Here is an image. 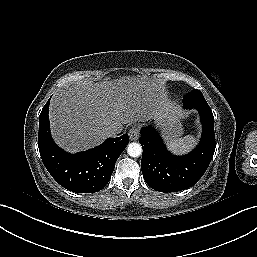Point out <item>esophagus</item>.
<instances>
[{"label":"esophagus","mask_w":257,"mask_h":257,"mask_svg":"<svg viewBox=\"0 0 257 257\" xmlns=\"http://www.w3.org/2000/svg\"><path fill=\"white\" fill-rule=\"evenodd\" d=\"M129 138L131 141H137L139 138V129L137 127H132L129 130Z\"/></svg>","instance_id":"34e87169"}]
</instances>
